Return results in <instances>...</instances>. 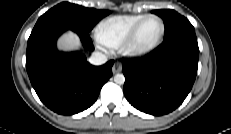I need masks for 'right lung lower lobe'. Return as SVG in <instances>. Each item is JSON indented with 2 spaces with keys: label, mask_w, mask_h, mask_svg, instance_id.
<instances>
[{
  "label": "right lung lower lobe",
  "mask_w": 231,
  "mask_h": 134,
  "mask_svg": "<svg viewBox=\"0 0 231 134\" xmlns=\"http://www.w3.org/2000/svg\"><path fill=\"white\" fill-rule=\"evenodd\" d=\"M73 30L87 50L94 46L88 32L67 24L49 23L32 30L28 39L26 69L40 100L51 110L72 115L89 108L112 76L111 60L90 65L79 51L63 53L56 48L58 37Z\"/></svg>",
  "instance_id": "1"
}]
</instances>
